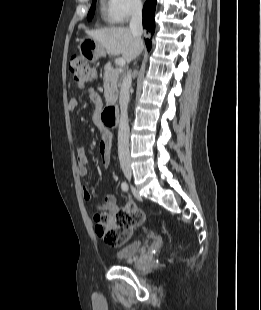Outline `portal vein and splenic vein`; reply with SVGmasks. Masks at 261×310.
Returning <instances> with one entry per match:
<instances>
[{
  "mask_svg": "<svg viewBox=\"0 0 261 310\" xmlns=\"http://www.w3.org/2000/svg\"><path fill=\"white\" fill-rule=\"evenodd\" d=\"M116 65L123 67L126 64V61L124 58H118L115 60Z\"/></svg>",
  "mask_w": 261,
  "mask_h": 310,
  "instance_id": "1",
  "label": "portal vein and splenic vein"
}]
</instances>
